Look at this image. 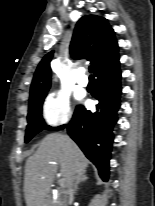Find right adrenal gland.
<instances>
[{
	"label": "right adrenal gland",
	"instance_id": "2a0ac1e0",
	"mask_svg": "<svg viewBox=\"0 0 155 206\" xmlns=\"http://www.w3.org/2000/svg\"><path fill=\"white\" fill-rule=\"evenodd\" d=\"M88 180V177L86 175V171L82 172V173H79L77 175V179H76V183H75V188H74V193L77 192L78 190V186L80 185V183L84 182Z\"/></svg>",
	"mask_w": 155,
	"mask_h": 206
}]
</instances>
